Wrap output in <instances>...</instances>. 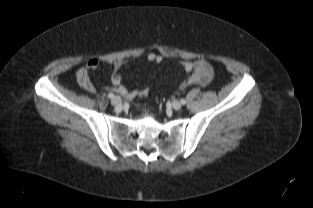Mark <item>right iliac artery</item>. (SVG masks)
<instances>
[{"label":"right iliac artery","instance_id":"right-iliac-artery-1","mask_svg":"<svg viewBox=\"0 0 313 208\" xmlns=\"http://www.w3.org/2000/svg\"><path fill=\"white\" fill-rule=\"evenodd\" d=\"M114 96H115V95H114V93H112V92L108 94V97L111 98V99L114 98Z\"/></svg>","mask_w":313,"mask_h":208}]
</instances>
